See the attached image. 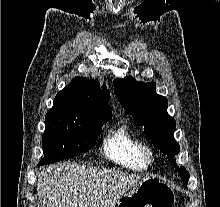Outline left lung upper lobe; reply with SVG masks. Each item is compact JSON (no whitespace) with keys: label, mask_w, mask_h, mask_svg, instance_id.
<instances>
[{"label":"left lung upper lobe","mask_w":220,"mask_h":207,"mask_svg":"<svg viewBox=\"0 0 220 207\" xmlns=\"http://www.w3.org/2000/svg\"><path fill=\"white\" fill-rule=\"evenodd\" d=\"M113 85L122 107L132 114L138 125L144 127L147 138L168 156L175 168H179L174 159L180 151V146L173 136L176 122L167 113V99L156 94L155 83L144 84L132 76H127L124 79H115Z\"/></svg>","instance_id":"obj_1"}]
</instances>
